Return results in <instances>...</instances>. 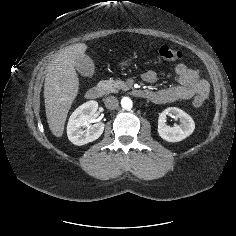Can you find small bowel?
Listing matches in <instances>:
<instances>
[{"mask_svg":"<svg viewBox=\"0 0 236 236\" xmlns=\"http://www.w3.org/2000/svg\"><path fill=\"white\" fill-rule=\"evenodd\" d=\"M175 75L179 85L156 91L148 90L146 96L157 104L189 100L195 96H200L203 100L208 97L209 84L197 70L179 63L175 68ZM142 79L148 84H153L158 80V74L153 70H148L143 73Z\"/></svg>","mask_w":236,"mask_h":236,"instance_id":"small-bowel-1","label":"small bowel"}]
</instances>
